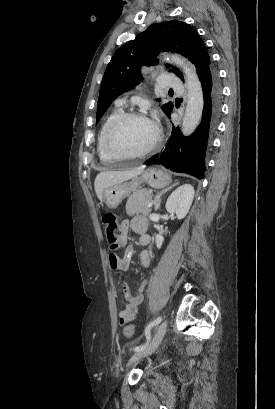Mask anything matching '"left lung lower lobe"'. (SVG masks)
Masks as SVG:
<instances>
[{
	"instance_id": "left-lung-lower-lobe-1",
	"label": "left lung lower lobe",
	"mask_w": 275,
	"mask_h": 409,
	"mask_svg": "<svg viewBox=\"0 0 275 409\" xmlns=\"http://www.w3.org/2000/svg\"><path fill=\"white\" fill-rule=\"evenodd\" d=\"M204 96L202 121L196 131L184 137L173 127L163 151L149 158L145 164L158 163L178 173L204 178L205 154L210 136L216 131L221 113V85L217 70L210 64L199 73ZM171 112L168 114L170 117Z\"/></svg>"
}]
</instances>
